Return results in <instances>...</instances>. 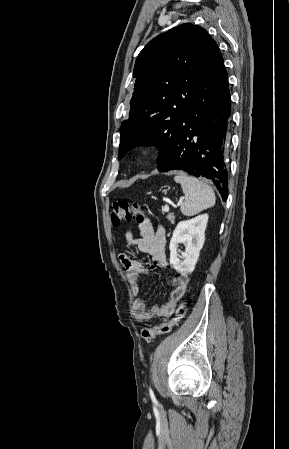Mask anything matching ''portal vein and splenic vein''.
Instances as JSON below:
<instances>
[{
    "label": "portal vein and splenic vein",
    "instance_id": "18ae733b",
    "mask_svg": "<svg viewBox=\"0 0 289 449\" xmlns=\"http://www.w3.org/2000/svg\"><path fill=\"white\" fill-rule=\"evenodd\" d=\"M181 203H182V201H180V202L178 203V206H179ZM174 206H175V205H174ZM163 211L168 212V211H169V206H168V205L164 206Z\"/></svg>",
    "mask_w": 289,
    "mask_h": 449
}]
</instances>
